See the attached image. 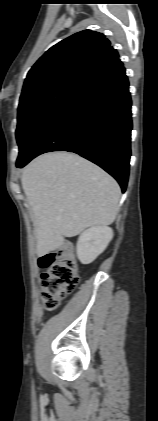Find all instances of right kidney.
I'll return each mask as SVG.
<instances>
[{
    "instance_id": "obj_1",
    "label": "right kidney",
    "mask_w": 158,
    "mask_h": 421,
    "mask_svg": "<svg viewBox=\"0 0 158 421\" xmlns=\"http://www.w3.org/2000/svg\"><path fill=\"white\" fill-rule=\"evenodd\" d=\"M113 230L107 226H96L85 230L77 241V256L82 264L93 262L108 246Z\"/></svg>"
}]
</instances>
